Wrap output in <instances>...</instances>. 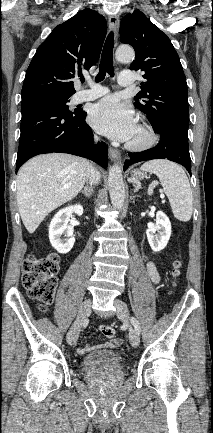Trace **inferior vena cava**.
Instances as JSON below:
<instances>
[{
	"label": "inferior vena cava",
	"mask_w": 213,
	"mask_h": 433,
	"mask_svg": "<svg viewBox=\"0 0 213 433\" xmlns=\"http://www.w3.org/2000/svg\"><path fill=\"white\" fill-rule=\"evenodd\" d=\"M96 139H97V137H96ZM99 181H100V174L92 165H90V167L88 169V174H87V182L92 187L93 185L98 184Z\"/></svg>",
	"instance_id": "602c4592"
}]
</instances>
